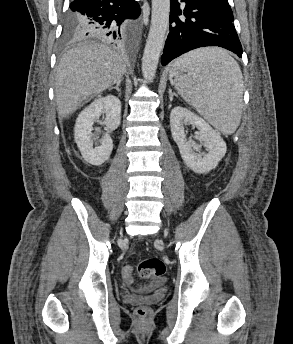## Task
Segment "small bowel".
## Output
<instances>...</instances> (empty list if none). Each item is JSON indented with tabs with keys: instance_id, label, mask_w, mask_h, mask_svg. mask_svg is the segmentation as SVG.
<instances>
[{
	"instance_id": "obj_1",
	"label": "small bowel",
	"mask_w": 293,
	"mask_h": 344,
	"mask_svg": "<svg viewBox=\"0 0 293 344\" xmlns=\"http://www.w3.org/2000/svg\"><path fill=\"white\" fill-rule=\"evenodd\" d=\"M125 281H126L127 283H130L132 280H131V279H125ZM125 298H126V299H130V297L127 296V295L125 296Z\"/></svg>"
}]
</instances>
